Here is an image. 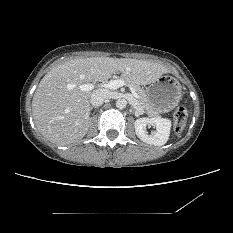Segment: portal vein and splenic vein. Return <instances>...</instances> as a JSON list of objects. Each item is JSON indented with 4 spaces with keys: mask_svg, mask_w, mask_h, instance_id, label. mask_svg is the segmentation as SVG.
I'll return each mask as SVG.
<instances>
[{
    "mask_svg": "<svg viewBox=\"0 0 233 233\" xmlns=\"http://www.w3.org/2000/svg\"><path fill=\"white\" fill-rule=\"evenodd\" d=\"M125 85V82L123 79H117V80H111L105 84H101L100 86L101 87H104V88H108V89H111V90H115V89H118L122 86ZM94 85L91 84V83H86V84H82L80 85V89L82 91H91L94 89ZM129 89L131 90V93L132 95L135 97V98H138V94L137 92L135 91V89L132 87V86H129Z\"/></svg>",
    "mask_w": 233,
    "mask_h": 233,
    "instance_id": "obj_1",
    "label": "portal vein and splenic vein"
}]
</instances>
